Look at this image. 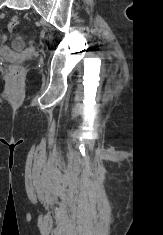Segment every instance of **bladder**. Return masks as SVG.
<instances>
[{"label": "bladder", "instance_id": "bladder-1", "mask_svg": "<svg viewBox=\"0 0 163 235\" xmlns=\"http://www.w3.org/2000/svg\"><path fill=\"white\" fill-rule=\"evenodd\" d=\"M24 45V41L22 39H15L12 42V46L15 49H20Z\"/></svg>", "mask_w": 163, "mask_h": 235}]
</instances>
